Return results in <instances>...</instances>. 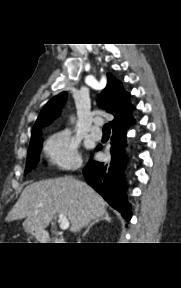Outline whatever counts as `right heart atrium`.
<instances>
[{
  "instance_id": "1",
  "label": "right heart atrium",
  "mask_w": 181,
  "mask_h": 288,
  "mask_svg": "<svg viewBox=\"0 0 181 288\" xmlns=\"http://www.w3.org/2000/svg\"><path fill=\"white\" fill-rule=\"evenodd\" d=\"M44 151L49 163L59 170H73L82 163L79 142L67 130L52 134L45 143Z\"/></svg>"
}]
</instances>
